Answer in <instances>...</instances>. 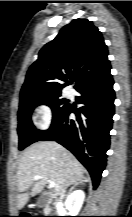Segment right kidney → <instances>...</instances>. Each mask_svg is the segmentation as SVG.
Segmentation results:
<instances>
[{"label": "right kidney", "instance_id": "ca27d5eb", "mask_svg": "<svg viewBox=\"0 0 132 217\" xmlns=\"http://www.w3.org/2000/svg\"><path fill=\"white\" fill-rule=\"evenodd\" d=\"M84 198L85 194L82 190H76L67 197L65 207L69 211L70 216H77L84 202Z\"/></svg>", "mask_w": 132, "mask_h": 217}]
</instances>
